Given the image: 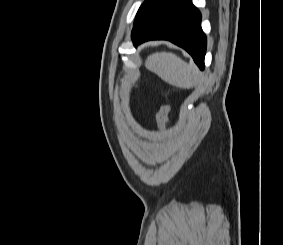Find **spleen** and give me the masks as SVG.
I'll return each mask as SVG.
<instances>
[{"label":"spleen","mask_w":283,"mask_h":245,"mask_svg":"<svg viewBox=\"0 0 283 245\" xmlns=\"http://www.w3.org/2000/svg\"><path fill=\"white\" fill-rule=\"evenodd\" d=\"M145 67L178 88L191 89L200 83L196 66L186 63L173 53H154L148 56Z\"/></svg>","instance_id":"obj_1"}]
</instances>
